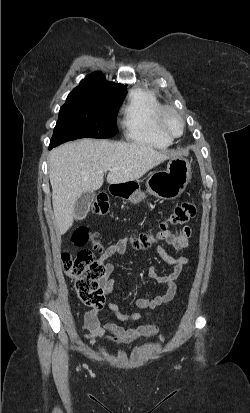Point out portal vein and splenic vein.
<instances>
[{"mask_svg": "<svg viewBox=\"0 0 250 413\" xmlns=\"http://www.w3.org/2000/svg\"><path fill=\"white\" fill-rule=\"evenodd\" d=\"M107 170H111V169L110 168L105 169V171H107Z\"/></svg>", "mask_w": 250, "mask_h": 413, "instance_id": "18ae733b", "label": "portal vein and splenic vein"}]
</instances>
